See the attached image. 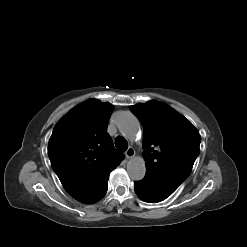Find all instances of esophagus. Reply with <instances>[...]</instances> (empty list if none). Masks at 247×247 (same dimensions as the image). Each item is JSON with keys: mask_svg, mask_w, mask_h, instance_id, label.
<instances>
[{"mask_svg": "<svg viewBox=\"0 0 247 247\" xmlns=\"http://www.w3.org/2000/svg\"><path fill=\"white\" fill-rule=\"evenodd\" d=\"M125 156H126L127 159H130V158L134 157L135 156L134 148L133 147H129L125 152Z\"/></svg>", "mask_w": 247, "mask_h": 247, "instance_id": "esophagus-1", "label": "esophagus"}]
</instances>
